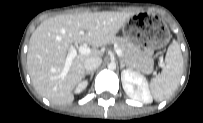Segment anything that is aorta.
Here are the masks:
<instances>
[{"label":"aorta","mask_w":203,"mask_h":123,"mask_svg":"<svg viewBox=\"0 0 203 123\" xmlns=\"http://www.w3.org/2000/svg\"><path fill=\"white\" fill-rule=\"evenodd\" d=\"M108 68H109L110 70H114V69L116 68V65H115L114 63H110V64L108 65Z\"/></svg>","instance_id":"762f6f07"}]
</instances>
